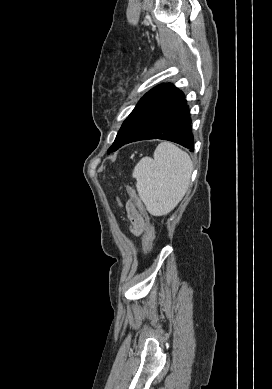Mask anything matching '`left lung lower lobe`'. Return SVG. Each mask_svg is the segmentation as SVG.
<instances>
[{"label":"left lung lower lobe","instance_id":"0a47b994","mask_svg":"<svg viewBox=\"0 0 272 389\" xmlns=\"http://www.w3.org/2000/svg\"><path fill=\"white\" fill-rule=\"evenodd\" d=\"M146 139L168 140L190 151L194 150L191 118L185 95L170 83L148 100L118 148L127 143Z\"/></svg>","mask_w":272,"mask_h":389}]
</instances>
